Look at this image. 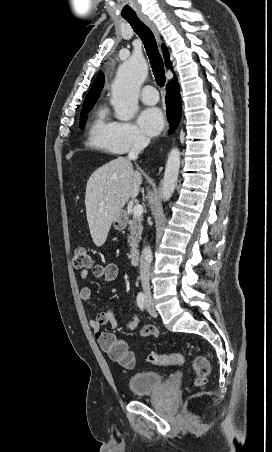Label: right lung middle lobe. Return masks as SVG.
Segmentation results:
<instances>
[{"label": "right lung middle lobe", "instance_id": "right-lung-middle-lobe-1", "mask_svg": "<svg viewBox=\"0 0 272 452\" xmlns=\"http://www.w3.org/2000/svg\"><path fill=\"white\" fill-rule=\"evenodd\" d=\"M95 103L92 104H84L81 110V116H80V126L84 127L86 122V114L87 112L93 107Z\"/></svg>", "mask_w": 272, "mask_h": 452}]
</instances>
